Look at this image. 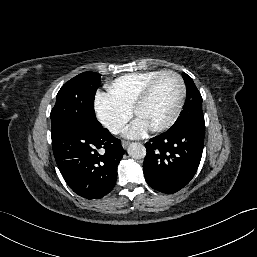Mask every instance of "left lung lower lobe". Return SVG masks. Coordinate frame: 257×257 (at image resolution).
<instances>
[{
  "label": "left lung lower lobe",
  "instance_id": "left-lung-lower-lobe-1",
  "mask_svg": "<svg viewBox=\"0 0 257 257\" xmlns=\"http://www.w3.org/2000/svg\"><path fill=\"white\" fill-rule=\"evenodd\" d=\"M204 133L205 125L188 124L151 138L143 164L147 183L166 194L185 187L200 164Z\"/></svg>",
  "mask_w": 257,
  "mask_h": 257
}]
</instances>
